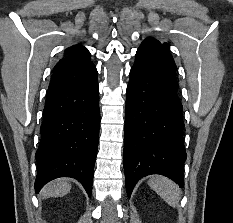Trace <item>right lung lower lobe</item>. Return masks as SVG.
Segmentation results:
<instances>
[{
  "label": "right lung lower lobe",
  "instance_id": "right-lung-lower-lobe-1",
  "mask_svg": "<svg viewBox=\"0 0 233 223\" xmlns=\"http://www.w3.org/2000/svg\"><path fill=\"white\" fill-rule=\"evenodd\" d=\"M97 70L93 63L53 72L36 152L35 190L58 177L79 180L91 195L99 140Z\"/></svg>",
  "mask_w": 233,
  "mask_h": 223
}]
</instances>
